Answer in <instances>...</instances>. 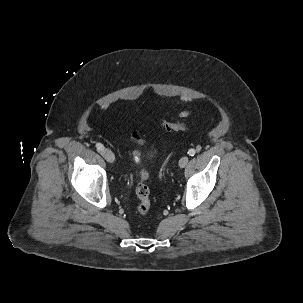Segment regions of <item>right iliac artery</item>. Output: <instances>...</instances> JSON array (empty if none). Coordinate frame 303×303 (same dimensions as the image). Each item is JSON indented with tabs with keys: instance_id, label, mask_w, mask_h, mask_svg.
<instances>
[{
	"instance_id": "right-iliac-artery-1",
	"label": "right iliac artery",
	"mask_w": 303,
	"mask_h": 303,
	"mask_svg": "<svg viewBox=\"0 0 303 303\" xmlns=\"http://www.w3.org/2000/svg\"><path fill=\"white\" fill-rule=\"evenodd\" d=\"M96 148H97L98 151H103L104 150V146L101 143H97Z\"/></svg>"
}]
</instances>
